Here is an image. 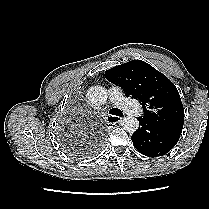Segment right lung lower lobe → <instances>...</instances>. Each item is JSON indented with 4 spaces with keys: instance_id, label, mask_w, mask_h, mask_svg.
<instances>
[{
    "instance_id": "98d812e1",
    "label": "right lung lower lobe",
    "mask_w": 209,
    "mask_h": 209,
    "mask_svg": "<svg viewBox=\"0 0 209 209\" xmlns=\"http://www.w3.org/2000/svg\"><path fill=\"white\" fill-rule=\"evenodd\" d=\"M94 139H95V142H96L97 145H101V143L103 142V136H102L101 133H97L96 136H94ZM93 149H95V148L85 147L84 152L85 153H91V152H93ZM80 151H82L81 147L79 148V152Z\"/></svg>"
}]
</instances>
